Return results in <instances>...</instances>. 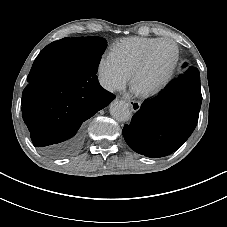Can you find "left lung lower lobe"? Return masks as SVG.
I'll return each mask as SVG.
<instances>
[{"mask_svg": "<svg viewBox=\"0 0 227 227\" xmlns=\"http://www.w3.org/2000/svg\"><path fill=\"white\" fill-rule=\"evenodd\" d=\"M201 102L200 74L190 67L157 97L142 104L123 128L126 143L147 157L173 153L194 131Z\"/></svg>", "mask_w": 227, "mask_h": 227, "instance_id": "left-lung-lower-lobe-1", "label": "left lung lower lobe"}]
</instances>
